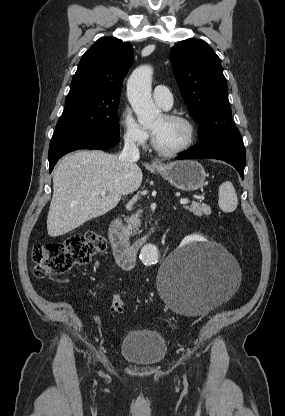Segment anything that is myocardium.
I'll use <instances>...</instances> for the list:
<instances>
[{
  "label": "myocardium",
  "instance_id": "myocardium-1",
  "mask_svg": "<svg viewBox=\"0 0 285 416\" xmlns=\"http://www.w3.org/2000/svg\"><path fill=\"white\" fill-rule=\"evenodd\" d=\"M163 115L167 119L183 123L186 126V129L188 132V138L185 144L182 145L181 147L177 149H173V150H165L157 145L156 140L153 136L152 144H153L154 150L159 155L165 156V157H175V156H179L187 152L193 146L194 141H195L196 132H195L194 124L187 116H184L180 113L168 112V113H164Z\"/></svg>",
  "mask_w": 285,
  "mask_h": 416
}]
</instances>
